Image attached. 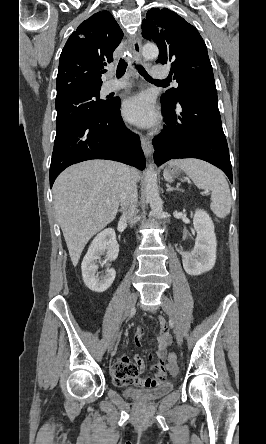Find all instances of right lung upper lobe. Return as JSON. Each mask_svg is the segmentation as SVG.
<instances>
[{"label": "right lung upper lobe", "mask_w": 266, "mask_h": 444, "mask_svg": "<svg viewBox=\"0 0 266 444\" xmlns=\"http://www.w3.org/2000/svg\"><path fill=\"white\" fill-rule=\"evenodd\" d=\"M123 32L108 11L82 22L68 38L59 59L57 97L76 91L99 90L101 73L113 61Z\"/></svg>", "instance_id": "1"}]
</instances>
